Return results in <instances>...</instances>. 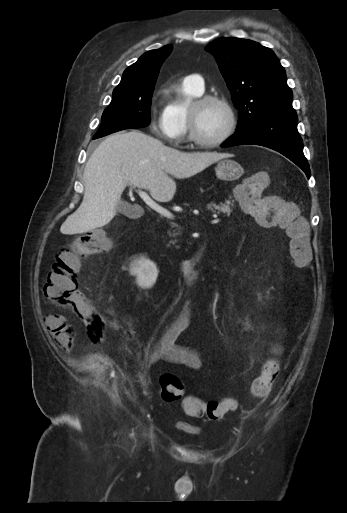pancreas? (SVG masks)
<instances>
[{
    "mask_svg": "<svg viewBox=\"0 0 347 513\" xmlns=\"http://www.w3.org/2000/svg\"><path fill=\"white\" fill-rule=\"evenodd\" d=\"M233 201H231L230 199L226 200L225 203H220V204H215L213 202H211L209 205H208V208L214 212V213H217V214H224V216H227L229 217L230 214L232 213L233 211ZM180 234V229H177L176 232L174 231L173 233V236L175 235H179Z\"/></svg>",
    "mask_w": 347,
    "mask_h": 513,
    "instance_id": "obj_1",
    "label": "pancreas"
}]
</instances>
